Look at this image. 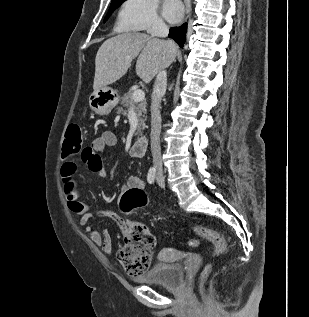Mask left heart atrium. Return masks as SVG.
<instances>
[{"mask_svg": "<svg viewBox=\"0 0 309 317\" xmlns=\"http://www.w3.org/2000/svg\"><path fill=\"white\" fill-rule=\"evenodd\" d=\"M163 15L171 23L180 21L183 16V6L180 0H164Z\"/></svg>", "mask_w": 309, "mask_h": 317, "instance_id": "obj_1", "label": "left heart atrium"}]
</instances>
